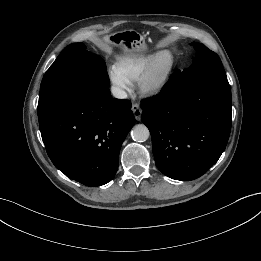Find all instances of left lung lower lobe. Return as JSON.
<instances>
[{"mask_svg":"<svg viewBox=\"0 0 261 261\" xmlns=\"http://www.w3.org/2000/svg\"><path fill=\"white\" fill-rule=\"evenodd\" d=\"M176 70L158 96L141 103L157 168L182 181L206 173L223 153L231 129V91L222 73L196 77L181 91Z\"/></svg>","mask_w":261,"mask_h":261,"instance_id":"1","label":"left lung lower lobe"}]
</instances>
